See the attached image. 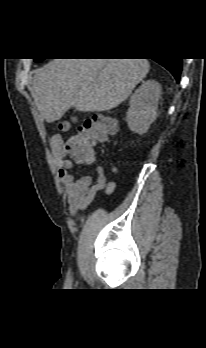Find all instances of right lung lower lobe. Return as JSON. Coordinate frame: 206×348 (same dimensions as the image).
Returning <instances> with one entry per match:
<instances>
[{"label": "right lung lower lobe", "instance_id": "1", "mask_svg": "<svg viewBox=\"0 0 206 348\" xmlns=\"http://www.w3.org/2000/svg\"><path fill=\"white\" fill-rule=\"evenodd\" d=\"M155 61L169 70L176 81L179 82L182 70V59H159Z\"/></svg>", "mask_w": 206, "mask_h": 348}]
</instances>
